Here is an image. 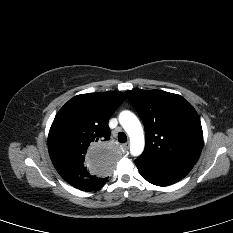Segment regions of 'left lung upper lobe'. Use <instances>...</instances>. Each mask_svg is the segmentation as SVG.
<instances>
[{
  "instance_id": "1",
  "label": "left lung upper lobe",
  "mask_w": 233,
  "mask_h": 233,
  "mask_svg": "<svg viewBox=\"0 0 233 233\" xmlns=\"http://www.w3.org/2000/svg\"><path fill=\"white\" fill-rule=\"evenodd\" d=\"M126 95L145 127V150L140 158L156 163L197 162L203 132L200 118L189 102L161 90L136 89Z\"/></svg>"
}]
</instances>
